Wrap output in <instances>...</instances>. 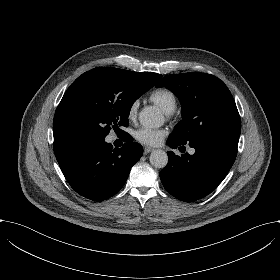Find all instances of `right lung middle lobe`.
I'll return each instance as SVG.
<instances>
[{
	"label": "right lung middle lobe",
	"instance_id": "right-lung-middle-lobe-1",
	"mask_svg": "<svg viewBox=\"0 0 280 280\" xmlns=\"http://www.w3.org/2000/svg\"><path fill=\"white\" fill-rule=\"evenodd\" d=\"M145 92L122 69L94 68L66 90L54 120L77 139L103 140L110 129L128 126L132 104Z\"/></svg>",
	"mask_w": 280,
	"mask_h": 280
}]
</instances>
